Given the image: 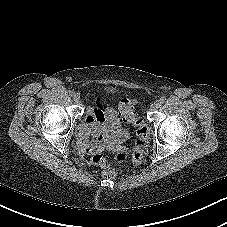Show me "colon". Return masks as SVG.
<instances>
[{
	"label": "colon",
	"mask_w": 227,
	"mask_h": 227,
	"mask_svg": "<svg viewBox=\"0 0 227 227\" xmlns=\"http://www.w3.org/2000/svg\"><path fill=\"white\" fill-rule=\"evenodd\" d=\"M135 104V99H125L120 105V114L123 120L132 123L136 128L137 140L132 153H117L112 161H107L100 154H94L91 158V164L100 166L103 175L108 179L115 177L116 166L123 165L129 161L134 165H138L148 145L149 129L143 123L142 119L134 114L133 109Z\"/></svg>",
	"instance_id": "obj_1"
}]
</instances>
